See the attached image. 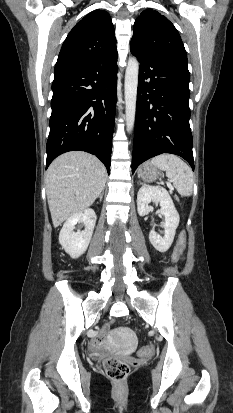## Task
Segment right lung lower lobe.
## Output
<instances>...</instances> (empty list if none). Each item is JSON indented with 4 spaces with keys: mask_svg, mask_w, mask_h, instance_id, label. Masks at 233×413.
<instances>
[{
    "mask_svg": "<svg viewBox=\"0 0 233 413\" xmlns=\"http://www.w3.org/2000/svg\"><path fill=\"white\" fill-rule=\"evenodd\" d=\"M46 169L60 154L96 155L110 171L117 53L54 72Z\"/></svg>",
    "mask_w": 233,
    "mask_h": 413,
    "instance_id": "1",
    "label": "right lung lower lobe"
}]
</instances>
